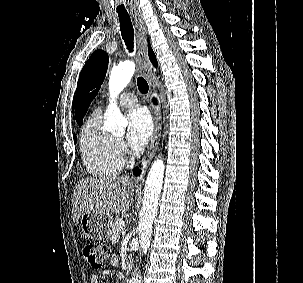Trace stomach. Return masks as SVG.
Returning <instances> with one entry per match:
<instances>
[{"mask_svg":"<svg viewBox=\"0 0 303 283\" xmlns=\"http://www.w3.org/2000/svg\"><path fill=\"white\" fill-rule=\"evenodd\" d=\"M113 217L109 214L84 213L80 217L83 236L94 240H103L110 235Z\"/></svg>","mask_w":303,"mask_h":283,"instance_id":"stomach-1","label":"stomach"}]
</instances>
